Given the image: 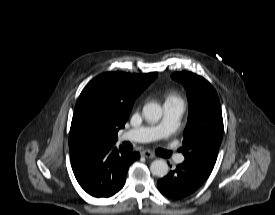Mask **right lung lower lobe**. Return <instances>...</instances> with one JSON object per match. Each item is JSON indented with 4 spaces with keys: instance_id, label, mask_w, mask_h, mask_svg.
Instances as JSON below:
<instances>
[{
    "instance_id": "1",
    "label": "right lung lower lobe",
    "mask_w": 275,
    "mask_h": 215,
    "mask_svg": "<svg viewBox=\"0 0 275 215\" xmlns=\"http://www.w3.org/2000/svg\"><path fill=\"white\" fill-rule=\"evenodd\" d=\"M114 144H96L71 157L78 183L93 197L117 193L125 184L129 166L140 157Z\"/></svg>"
}]
</instances>
